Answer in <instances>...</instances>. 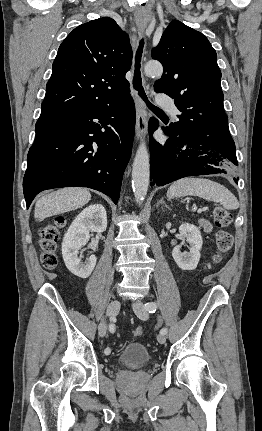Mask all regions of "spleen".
Segmentation results:
<instances>
[{
	"label": "spleen",
	"instance_id": "3e777b00",
	"mask_svg": "<svg viewBox=\"0 0 262 431\" xmlns=\"http://www.w3.org/2000/svg\"><path fill=\"white\" fill-rule=\"evenodd\" d=\"M187 195L220 203L228 210L239 207L237 198L226 187L209 179L185 177L172 183L167 191L169 199Z\"/></svg>",
	"mask_w": 262,
	"mask_h": 431
}]
</instances>
